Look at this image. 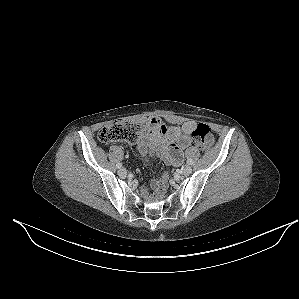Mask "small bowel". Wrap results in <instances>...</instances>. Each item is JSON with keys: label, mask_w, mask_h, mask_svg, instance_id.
<instances>
[{"label": "small bowel", "mask_w": 299, "mask_h": 299, "mask_svg": "<svg viewBox=\"0 0 299 299\" xmlns=\"http://www.w3.org/2000/svg\"><path fill=\"white\" fill-rule=\"evenodd\" d=\"M196 125L190 120L181 126L166 127L160 118L149 117L136 143L138 153L144 159L156 155L171 166H179L183 161V151L191 145V134ZM164 180H153L151 185L158 190Z\"/></svg>", "instance_id": "obj_1"}]
</instances>
